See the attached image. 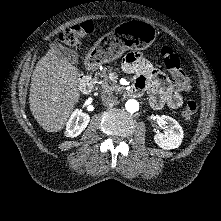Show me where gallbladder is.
<instances>
[{
  "label": "gallbladder",
  "mask_w": 221,
  "mask_h": 221,
  "mask_svg": "<svg viewBox=\"0 0 221 221\" xmlns=\"http://www.w3.org/2000/svg\"><path fill=\"white\" fill-rule=\"evenodd\" d=\"M54 49L58 56L70 62L71 64L79 63V55L73 49L66 47L59 42L54 44Z\"/></svg>",
  "instance_id": "gallbladder-1"
}]
</instances>
